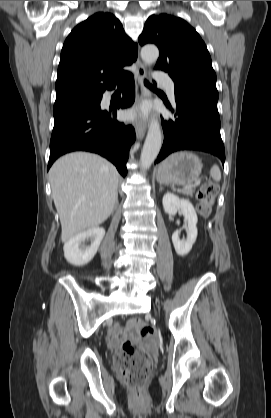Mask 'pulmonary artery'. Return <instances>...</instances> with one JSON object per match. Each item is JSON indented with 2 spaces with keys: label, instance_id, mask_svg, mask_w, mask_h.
<instances>
[{
  "label": "pulmonary artery",
  "instance_id": "1",
  "mask_svg": "<svg viewBox=\"0 0 271 418\" xmlns=\"http://www.w3.org/2000/svg\"><path fill=\"white\" fill-rule=\"evenodd\" d=\"M156 80L165 87L166 92L171 100H174L175 87L173 80L169 76L160 73L156 74Z\"/></svg>",
  "mask_w": 271,
  "mask_h": 418
}]
</instances>
